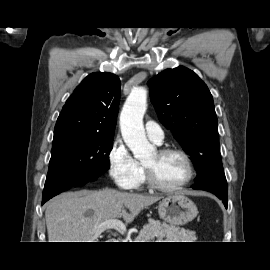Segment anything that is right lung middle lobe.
Here are the masks:
<instances>
[{"label":"right lung middle lobe","instance_id":"right-lung-middle-lobe-1","mask_svg":"<svg viewBox=\"0 0 270 270\" xmlns=\"http://www.w3.org/2000/svg\"><path fill=\"white\" fill-rule=\"evenodd\" d=\"M113 147V135L78 132L54 133L52 156L47 178L69 174L75 179H93L110 167L109 153ZM61 186H51L49 194L62 191Z\"/></svg>","mask_w":270,"mask_h":270}]
</instances>
